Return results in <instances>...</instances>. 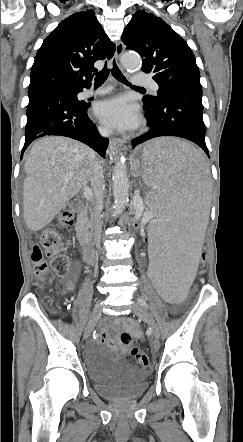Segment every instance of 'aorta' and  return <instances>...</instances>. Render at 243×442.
Listing matches in <instances>:
<instances>
[{"label": "aorta", "instance_id": "obj_1", "mask_svg": "<svg viewBox=\"0 0 243 442\" xmlns=\"http://www.w3.org/2000/svg\"><path fill=\"white\" fill-rule=\"evenodd\" d=\"M122 65L128 71H137L142 66V60L135 54L126 53L121 59ZM113 213L114 215L121 214L128 202L129 196V179L127 176L126 159L123 154L115 163L113 169Z\"/></svg>", "mask_w": 243, "mask_h": 442}]
</instances>
